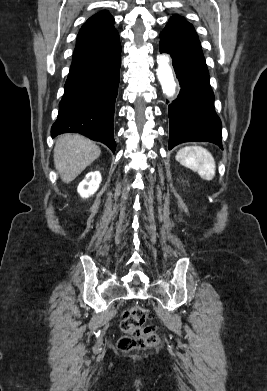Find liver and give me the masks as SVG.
Instances as JSON below:
<instances>
[{
	"mask_svg": "<svg viewBox=\"0 0 267 391\" xmlns=\"http://www.w3.org/2000/svg\"><path fill=\"white\" fill-rule=\"evenodd\" d=\"M101 154L100 148L78 134L58 137L54 148V164L63 182L73 181Z\"/></svg>",
	"mask_w": 267,
	"mask_h": 391,
	"instance_id": "liver-1",
	"label": "liver"
}]
</instances>
